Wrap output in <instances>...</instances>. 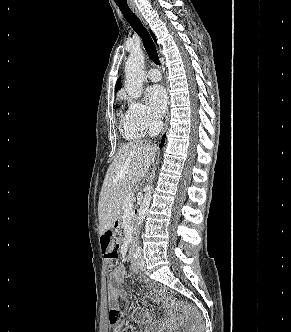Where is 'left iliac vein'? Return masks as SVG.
Segmentation results:
<instances>
[{
	"label": "left iliac vein",
	"mask_w": 291,
	"mask_h": 332,
	"mask_svg": "<svg viewBox=\"0 0 291 332\" xmlns=\"http://www.w3.org/2000/svg\"><path fill=\"white\" fill-rule=\"evenodd\" d=\"M137 265L140 270H142V271L146 270V263H145L144 258L140 257L137 261Z\"/></svg>",
	"instance_id": "obj_1"
}]
</instances>
